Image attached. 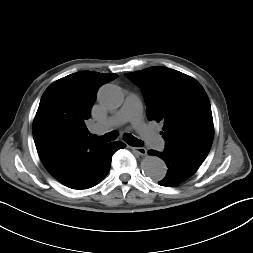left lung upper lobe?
Here are the masks:
<instances>
[{"label": "left lung upper lobe", "instance_id": "1", "mask_svg": "<svg viewBox=\"0 0 253 253\" xmlns=\"http://www.w3.org/2000/svg\"><path fill=\"white\" fill-rule=\"evenodd\" d=\"M138 85L147 118L163 124L165 148L206 158L214 137L208 96L194 78L166 67L126 73Z\"/></svg>", "mask_w": 253, "mask_h": 253}]
</instances>
